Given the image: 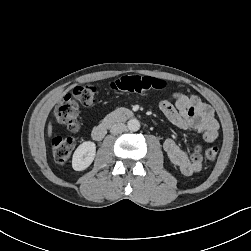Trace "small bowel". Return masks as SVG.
I'll use <instances>...</instances> for the list:
<instances>
[{
    "label": "small bowel",
    "mask_w": 251,
    "mask_h": 251,
    "mask_svg": "<svg viewBox=\"0 0 251 251\" xmlns=\"http://www.w3.org/2000/svg\"><path fill=\"white\" fill-rule=\"evenodd\" d=\"M158 106L178 128L198 131L206 142H213L218 137L219 124L214 118L213 109L199 97L175 92L169 98L162 99ZM163 148L169 160L183 175L190 176L201 171L203 158L200 146L188 155L172 138L165 137Z\"/></svg>",
    "instance_id": "c3829d8e"
}]
</instances>
